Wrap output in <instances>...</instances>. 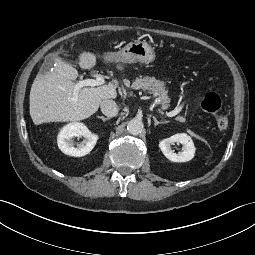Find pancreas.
I'll return each mask as SVG.
<instances>
[{
    "instance_id": "cf45deb5",
    "label": "pancreas",
    "mask_w": 255,
    "mask_h": 255,
    "mask_svg": "<svg viewBox=\"0 0 255 255\" xmlns=\"http://www.w3.org/2000/svg\"><path fill=\"white\" fill-rule=\"evenodd\" d=\"M131 88L154 95L158 100V104H161L162 109L169 107L170 98L167 95L168 90L163 81L157 80L155 77L140 76L132 83Z\"/></svg>"
}]
</instances>
